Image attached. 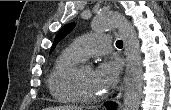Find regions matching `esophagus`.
Wrapping results in <instances>:
<instances>
[{
	"label": "esophagus",
	"instance_id": "obj_1",
	"mask_svg": "<svg viewBox=\"0 0 171 110\" xmlns=\"http://www.w3.org/2000/svg\"><path fill=\"white\" fill-rule=\"evenodd\" d=\"M125 54H126V57H128V56H127V55H128L127 44H125ZM122 90H123V85H121V87H120V90H119V94H118V96H117L116 103H119V99H120V97H121V95H122Z\"/></svg>",
	"mask_w": 171,
	"mask_h": 110
}]
</instances>
